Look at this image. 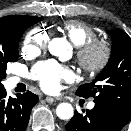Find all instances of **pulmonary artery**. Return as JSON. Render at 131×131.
<instances>
[{
    "instance_id": "1",
    "label": "pulmonary artery",
    "mask_w": 131,
    "mask_h": 131,
    "mask_svg": "<svg viewBox=\"0 0 131 131\" xmlns=\"http://www.w3.org/2000/svg\"><path fill=\"white\" fill-rule=\"evenodd\" d=\"M17 81H18V79H15V82H17ZM94 106H95V104H94L93 102H90L87 107H88L89 109H93Z\"/></svg>"
}]
</instances>
